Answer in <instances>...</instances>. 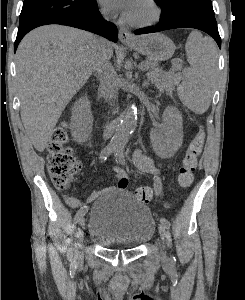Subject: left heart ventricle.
<instances>
[{
  "label": "left heart ventricle",
  "mask_w": 245,
  "mask_h": 300,
  "mask_svg": "<svg viewBox=\"0 0 245 300\" xmlns=\"http://www.w3.org/2000/svg\"><path fill=\"white\" fill-rule=\"evenodd\" d=\"M152 16V9L146 0H138L130 13L129 19L134 21H145Z\"/></svg>",
  "instance_id": "obj_1"
}]
</instances>
